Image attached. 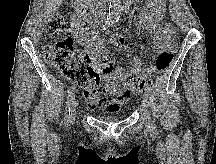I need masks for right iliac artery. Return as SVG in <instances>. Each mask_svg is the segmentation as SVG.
Returning <instances> with one entry per match:
<instances>
[{"instance_id":"right-iliac-artery-1","label":"right iliac artery","mask_w":216,"mask_h":164,"mask_svg":"<svg viewBox=\"0 0 216 164\" xmlns=\"http://www.w3.org/2000/svg\"><path fill=\"white\" fill-rule=\"evenodd\" d=\"M115 22V19L108 18L105 22V26H103V29H105L106 26H110ZM75 94V86H71L70 89L68 90V101L66 102V112H65V117H64V124L65 126L68 125L70 121V107H69V102L71 101L73 95Z\"/></svg>"}]
</instances>
